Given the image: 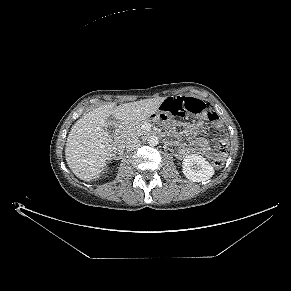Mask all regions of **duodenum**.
Masks as SVG:
<instances>
[{
    "label": "duodenum",
    "instance_id": "duodenum-1",
    "mask_svg": "<svg viewBox=\"0 0 291 291\" xmlns=\"http://www.w3.org/2000/svg\"><path fill=\"white\" fill-rule=\"evenodd\" d=\"M124 151V142L122 140H118L114 147V157L116 159H120L122 157Z\"/></svg>",
    "mask_w": 291,
    "mask_h": 291
}]
</instances>
